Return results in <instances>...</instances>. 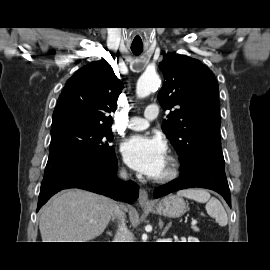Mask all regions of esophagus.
<instances>
[{
    "label": "esophagus",
    "mask_w": 270,
    "mask_h": 270,
    "mask_svg": "<svg viewBox=\"0 0 270 270\" xmlns=\"http://www.w3.org/2000/svg\"><path fill=\"white\" fill-rule=\"evenodd\" d=\"M138 203L140 206L152 205L151 201L148 198V193L146 192L145 189H140Z\"/></svg>",
    "instance_id": "34e87169"
}]
</instances>
